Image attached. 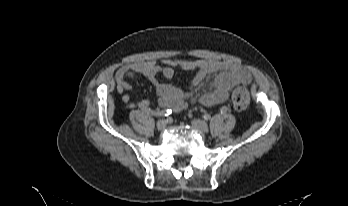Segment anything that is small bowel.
I'll return each instance as SVG.
<instances>
[{
	"mask_svg": "<svg viewBox=\"0 0 348 206\" xmlns=\"http://www.w3.org/2000/svg\"><path fill=\"white\" fill-rule=\"evenodd\" d=\"M175 68L193 73L187 90L162 83L157 79L158 75L171 79ZM138 74L146 77L155 86L159 106L175 112L185 109L189 102L203 106L224 103L228 100L230 91L235 85H249L252 82L250 73L243 66L228 61L166 59L161 63L144 60L124 64L115 75L117 91L123 94L122 101L128 108H138L144 111L148 110L150 102L147 99L131 102L129 94L126 93L131 88L129 80ZM212 74L215 75L213 89L194 97V91L207 76Z\"/></svg>",
	"mask_w": 348,
	"mask_h": 206,
	"instance_id": "c3829d8e",
	"label": "small bowel"
}]
</instances>
